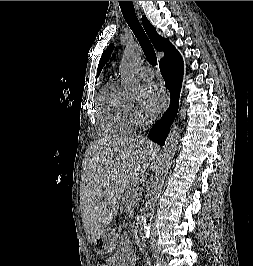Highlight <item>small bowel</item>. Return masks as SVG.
<instances>
[{"instance_id":"small-bowel-1","label":"small bowel","mask_w":253,"mask_h":266,"mask_svg":"<svg viewBox=\"0 0 253 266\" xmlns=\"http://www.w3.org/2000/svg\"><path fill=\"white\" fill-rule=\"evenodd\" d=\"M126 264L133 266L134 262L130 259H126L122 252L114 254L107 261V266H124Z\"/></svg>"}]
</instances>
